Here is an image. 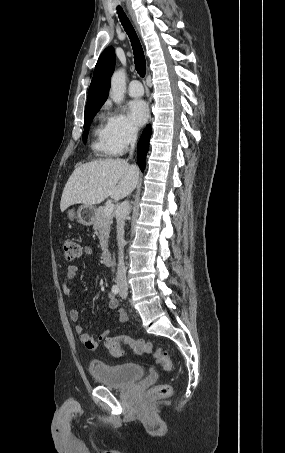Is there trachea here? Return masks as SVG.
I'll list each match as a JSON object with an SVG mask.
<instances>
[{
    "mask_svg": "<svg viewBox=\"0 0 285 453\" xmlns=\"http://www.w3.org/2000/svg\"><path fill=\"white\" fill-rule=\"evenodd\" d=\"M117 12L119 14L120 21L122 22V25H123L125 31L127 32L128 36L130 38V41H131V45L133 47L134 63H135L136 71L141 77H144L146 74V60H145V56H144V52H143L141 43L138 39V36H137L132 24L130 23L129 19L127 18L123 9L120 6L117 7Z\"/></svg>",
    "mask_w": 285,
    "mask_h": 453,
    "instance_id": "trachea-1",
    "label": "trachea"
}]
</instances>
